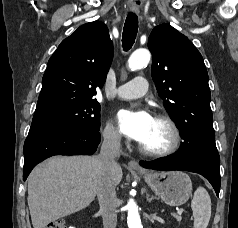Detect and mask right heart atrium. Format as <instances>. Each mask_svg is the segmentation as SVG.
I'll use <instances>...</instances> for the list:
<instances>
[{
    "mask_svg": "<svg viewBox=\"0 0 238 228\" xmlns=\"http://www.w3.org/2000/svg\"><path fill=\"white\" fill-rule=\"evenodd\" d=\"M103 140L111 146H119L121 144V134L118 128L111 122H108L102 132Z\"/></svg>",
    "mask_w": 238,
    "mask_h": 228,
    "instance_id": "1",
    "label": "right heart atrium"
}]
</instances>
